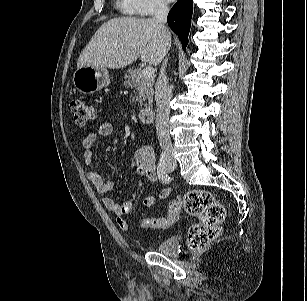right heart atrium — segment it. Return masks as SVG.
<instances>
[{"label": "right heart atrium", "instance_id": "obj_1", "mask_svg": "<svg viewBox=\"0 0 307 301\" xmlns=\"http://www.w3.org/2000/svg\"><path fill=\"white\" fill-rule=\"evenodd\" d=\"M168 0H125L124 7L140 16H151L168 9Z\"/></svg>", "mask_w": 307, "mask_h": 301}]
</instances>
